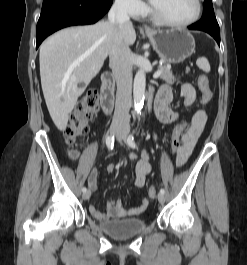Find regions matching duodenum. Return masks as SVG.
<instances>
[{"instance_id":"410a0bca","label":"duodenum","mask_w":247,"mask_h":265,"mask_svg":"<svg viewBox=\"0 0 247 265\" xmlns=\"http://www.w3.org/2000/svg\"><path fill=\"white\" fill-rule=\"evenodd\" d=\"M114 104V78L105 73L101 78V107L104 113L109 114Z\"/></svg>"}]
</instances>
